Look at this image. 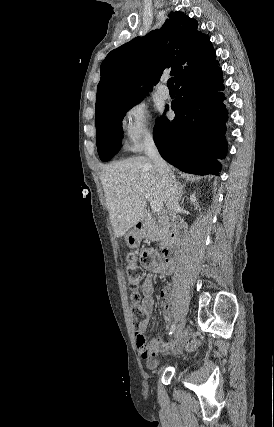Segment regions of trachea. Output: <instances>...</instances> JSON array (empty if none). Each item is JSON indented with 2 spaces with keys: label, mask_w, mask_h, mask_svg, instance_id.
<instances>
[{
  "label": "trachea",
  "mask_w": 274,
  "mask_h": 427,
  "mask_svg": "<svg viewBox=\"0 0 274 427\" xmlns=\"http://www.w3.org/2000/svg\"><path fill=\"white\" fill-rule=\"evenodd\" d=\"M167 86L169 88H174V82H173V78H169L168 82H167Z\"/></svg>",
  "instance_id": "trachea-1"
}]
</instances>
